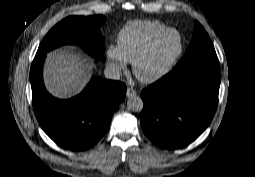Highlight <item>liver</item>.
I'll return each mask as SVG.
<instances>
[{"label":"liver","instance_id":"6515ba94","mask_svg":"<svg viewBox=\"0 0 255 177\" xmlns=\"http://www.w3.org/2000/svg\"><path fill=\"white\" fill-rule=\"evenodd\" d=\"M92 62L73 47H62L47 55L44 81L56 97L68 98L79 93L91 77Z\"/></svg>","mask_w":255,"mask_h":177}]
</instances>
